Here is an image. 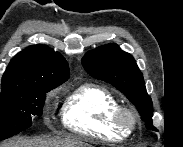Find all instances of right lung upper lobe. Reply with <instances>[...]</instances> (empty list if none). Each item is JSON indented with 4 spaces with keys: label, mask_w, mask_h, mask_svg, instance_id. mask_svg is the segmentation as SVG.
I'll return each mask as SVG.
<instances>
[{
    "label": "right lung upper lobe",
    "mask_w": 183,
    "mask_h": 147,
    "mask_svg": "<svg viewBox=\"0 0 183 147\" xmlns=\"http://www.w3.org/2000/svg\"><path fill=\"white\" fill-rule=\"evenodd\" d=\"M69 77L66 60L46 45L29 46L18 53L8 65L2 87L45 84L56 87Z\"/></svg>",
    "instance_id": "right-lung-upper-lobe-1"
}]
</instances>
